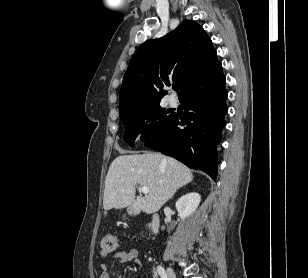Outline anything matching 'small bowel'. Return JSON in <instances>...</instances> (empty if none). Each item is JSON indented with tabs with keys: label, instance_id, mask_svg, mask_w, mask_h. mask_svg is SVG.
Returning a JSON list of instances; mask_svg holds the SVG:
<instances>
[{
	"label": "small bowel",
	"instance_id": "c3829d8e",
	"mask_svg": "<svg viewBox=\"0 0 308 278\" xmlns=\"http://www.w3.org/2000/svg\"><path fill=\"white\" fill-rule=\"evenodd\" d=\"M113 261L116 263H125L129 261H134L137 266H141L139 261V250L132 248L129 250H120L113 254ZM109 265L108 263L101 264V273L99 278H111L108 272ZM139 278V277H134Z\"/></svg>",
	"mask_w": 308,
	"mask_h": 278
}]
</instances>
